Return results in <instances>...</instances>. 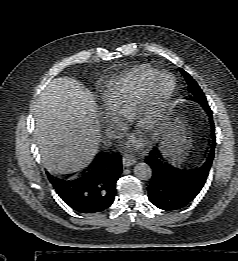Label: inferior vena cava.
Returning <instances> with one entry per match:
<instances>
[{"label": "inferior vena cava", "mask_w": 238, "mask_h": 261, "mask_svg": "<svg viewBox=\"0 0 238 261\" xmlns=\"http://www.w3.org/2000/svg\"><path fill=\"white\" fill-rule=\"evenodd\" d=\"M105 135L109 139L119 138V133L112 127L106 129Z\"/></svg>", "instance_id": "inferior-vena-cava-1"}]
</instances>
